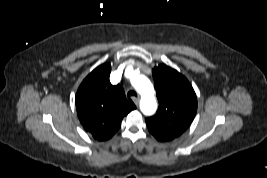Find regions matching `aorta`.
<instances>
[{
    "label": "aorta",
    "instance_id": "obj_1",
    "mask_svg": "<svg viewBox=\"0 0 267 178\" xmlns=\"http://www.w3.org/2000/svg\"><path fill=\"white\" fill-rule=\"evenodd\" d=\"M132 85L141 95L140 109L145 115L153 114L157 109L152 83L143 75H136L131 79Z\"/></svg>",
    "mask_w": 267,
    "mask_h": 178
}]
</instances>
